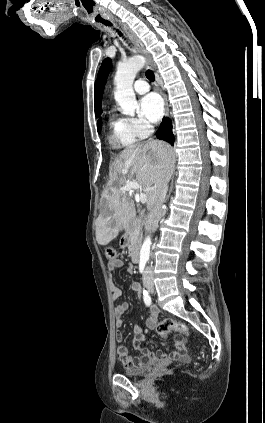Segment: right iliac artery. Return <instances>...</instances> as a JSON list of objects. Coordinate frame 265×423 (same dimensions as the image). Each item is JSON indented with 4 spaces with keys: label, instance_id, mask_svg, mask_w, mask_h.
<instances>
[{
    "label": "right iliac artery",
    "instance_id": "obj_1",
    "mask_svg": "<svg viewBox=\"0 0 265 423\" xmlns=\"http://www.w3.org/2000/svg\"><path fill=\"white\" fill-rule=\"evenodd\" d=\"M143 268H144L143 266H140V272L143 271ZM143 299H144V302L147 306L151 305V297L146 290H143Z\"/></svg>",
    "mask_w": 265,
    "mask_h": 423
}]
</instances>
